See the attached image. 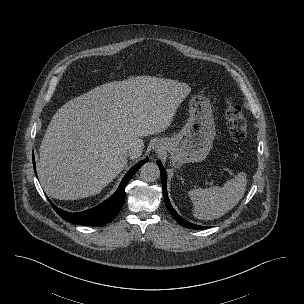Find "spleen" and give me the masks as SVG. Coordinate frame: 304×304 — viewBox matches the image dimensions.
<instances>
[{"label":"spleen","mask_w":304,"mask_h":304,"mask_svg":"<svg viewBox=\"0 0 304 304\" xmlns=\"http://www.w3.org/2000/svg\"><path fill=\"white\" fill-rule=\"evenodd\" d=\"M246 186V175L240 172L235 179L227 181L223 187L189 191L188 195L194 204V216L201 220H213L225 215L242 199Z\"/></svg>","instance_id":"spleen-1"}]
</instances>
